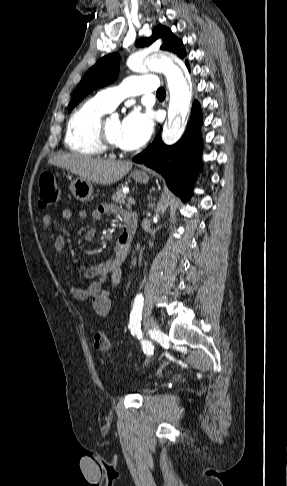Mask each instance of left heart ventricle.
I'll return each instance as SVG.
<instances>
[{"label":"left heart ventricle","mask_w":287,"mask_h":486,"mask_svg":"<svg viewBox=\"0 0 287 486\" xmlns=\"http://www.w3.org/2000/svg\"><path fill=\"white\" fill-rule=\"evenodd\" d=\"M107 133L110 139L116 143L118 146L122 147L121 144V121L118 119L109 120L106 123Z\"/></svg>","instance_id":"obj_1"}]
</instances>
